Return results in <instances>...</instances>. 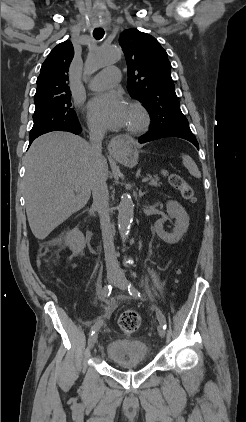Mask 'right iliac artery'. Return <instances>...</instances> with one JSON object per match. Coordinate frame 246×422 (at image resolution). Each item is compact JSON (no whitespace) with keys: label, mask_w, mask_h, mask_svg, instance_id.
Segmentation results:
<instances>
[{"label":"right iliac artery","mask_w":246,"mask_h":422,"mask_svg":"<svg viewBox=\"0 0 246 422\" xmlns=\"http://www.w3.org/2000/svg\"><path fill=\"white\" fill-rule=\"evenodd\" d=\"M111 291H112V286L111 285H106L104 288H103V290H102V293H103V296L104 297H106V298H108L109 296H110V294H111ZM103 324V321L102 320H98L92 327H91V330H90V335H93L99 328H100V326Z\"/></svg>","instance_id":"right-iliac-artery-1"}]
</instances>
